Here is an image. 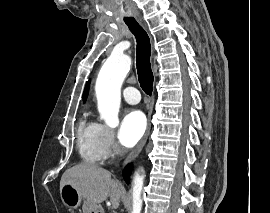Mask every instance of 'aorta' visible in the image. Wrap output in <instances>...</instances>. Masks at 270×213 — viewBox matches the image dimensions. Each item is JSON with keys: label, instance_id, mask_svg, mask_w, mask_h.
Masks as SVG:
<instances>
[{"label": "aorta", "instance_id": "1", "mask_svg": "<svg viewBox=\"0 0 270 213\" xmlns=\"http://www.w3.org/2000/svg\"><path fill=\"white\" fill-rule=\"evenodd\" d=\"M131 67V58L126 54L112 53L100 69L96 80V96L101 119L110 127L119 124L121 86ZM144 175L137 172L133 180V204L131 213H141Z\"/></svg>", "mask_w": 270, "mask_h": 213}]
</instances>
